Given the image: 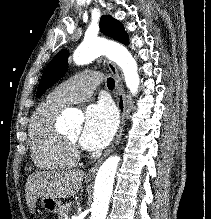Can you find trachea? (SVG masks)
<instances>
[{"label": "trachea", "instance_id": "trachea-1", "mask_svg": "<svg viewBox=\"0 0 211 219\" xmlns=\"http://www.w3.org/2000/svg\"><path fill=\"white\" fill-rule=\"evenodd\" d=\"M107 86L109 89H114V86H115V81L113 78H108L107 79Z\"/></svg>", "mask_w": 211, "mask_h": 219}]
</instances>
